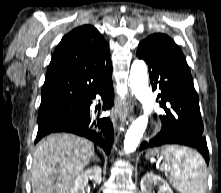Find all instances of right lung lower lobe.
<instances>
[{"instance_id": "right-lung-lower-lobe-1", "label": "right lung lower lobe", "mask_w": 221, "mask_h": 193, "mask_svg": "<svg viewBox=\"0 0 221 193\" xmlns=\"http://www.w3.org/2000/svg\"><path fill=\"white\" fill-rule=\"evenodd\" d=\"M96 95H100L103 99V110L111 109L113 105L111 100L113 96L112 67L94 80L89 91L82 98L84 109L81 113L51 127L38 129L35 142L50 133L68 132L96 142L104 149L106 154H109L114 136L112 123L108 117L101 118L99 114L89 111L92 100Z\"/></svg>"}]
</instances>
